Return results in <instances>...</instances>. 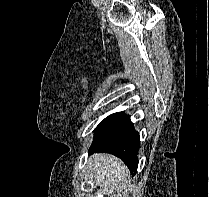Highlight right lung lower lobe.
I'll return each mask as SVG.
<instances>
[{"instance_id":"right-lung-lower-lobe-1","label":"right lung lower lobe","mask_w":209,"mask_h":197,"mask_svg":"<svg viewBox=\"0 0 209 197\" xmlns=\"http://www.w3.org/2000/svg\"><path fill=\"white\" fill-rule=\"evenodd\" d=\"M94 132L96 134L89 152H106L119 157L134 176L137 172L140 140L130 117L122 112L112 114L105 118Z\"/></svg>"}]
</instances>
